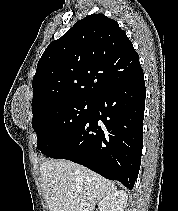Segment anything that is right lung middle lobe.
<instances>
[{
  "label": "right lung middle lobe",
  "mask_w": 178,
  "mask_h": 211,
  "mask_svg": "<svg viewBox=\"0 0 178 211\" xmlns=\"http://www.w3.org/2000/svg\"><path fill=\"white\" fill-rule=\"evenodd\" d=\"M93 99H70L52 103L33 114L37 148L48 154L75 132L88 118Z\"/></svg>",
  "instance_id": "dd1d6c3e"
}]
</instances>
